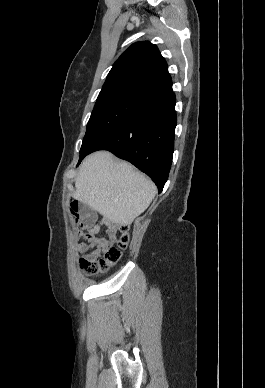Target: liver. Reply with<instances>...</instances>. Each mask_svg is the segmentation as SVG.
Segmentation results:
<instances>
[{
  "instance_id": "6515ba94",
  "label": "liver",
  "mask_w": 265,
  "mask_h": 388,
  "mask_svg": "<svg viewBox=\"0 0 265 388\" xmlns=\"http://www.w3.org/2000/svg\"><path fill=\"white\" fill-rule=\"evenodd\" d=\"M75 200L99 212L116 226H130L154 200V182L110 152L87 156L75 178Z\"/></svg>"
}]
</instances>
